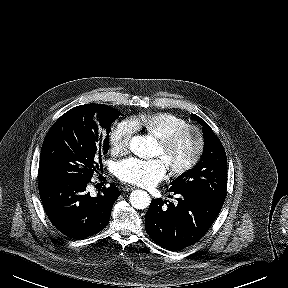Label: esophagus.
<instances>
[{
    "label": "esophagus",
    "mask_w": 288,
    "mask_h": 288,
    "mask_svg": "<svg viewBox=\"0 0 288 288\" xmlns=\"http://www.w3.org/2000/svg\"><path fill=\"white\" fill-rule=\"evenodd\" d=\"M133 189H135V187L134 186H130V185H127V186L123 187L124 191H130V190H133Z\"/></svg>",
    "instance_id": "esophagus-1"
}]
</instances>
